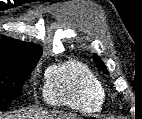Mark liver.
Instances as JSON below:
<instances>
[{
    "label": "liver",
    "mask_w": 142,
    "mask_h": 119,
    "mask_svg": "<svg viewBox=\"0 0 142 119\" xmlns=\"http://www.w3.org/2000/svg\"><path fill=\"white\" fill-rule=\"evenodd\" d=\"M15 117L23 119H72L71 115H57L55 112H47L43 110H28L18 116H2L0 119H16Z\"/></svg>",
    "instance_id": "1"
}]
</instances>
